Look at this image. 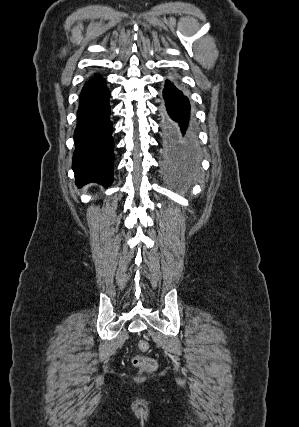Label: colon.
Wrapping results in <instances>:
<instances>
[{"instance_id": "5ec220e1", "label": "colon", "mask_w": 299, "mask_h": 427, "mask_svg": "<svg viewBox=\"0 0 299 427\" xmlns=\"http://www.w3.org/2000/svg\"><path fill=\"white\" fill-rule=\"evenodd\" d=\"M149 349V344L146 341H139L137 344V350L139 352H145ZM131 363L140 368L144 372H153L157 369V361L153 358L136 354L131 358Z\"/></svg>"}]
</instances>
